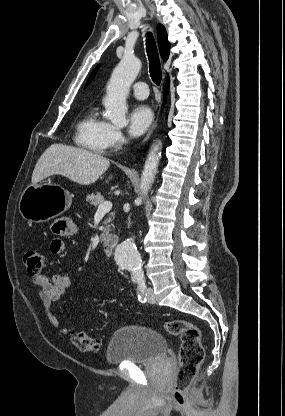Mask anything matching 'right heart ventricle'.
Listing matches in <instances>:
<instances>
[{
	"mask_svg": "<svg viewBox=\"0 0 285 416\" xmlns=\"http://www.w3.org/2000/svg\"><path fill=\"white\" fill-rule=\"evenodd\" d=\"M109 126L96 108H90L77 125L76 144L90 152L101 153Z\"/></svg>",
	"mask_w": 285,
	"mask_h": 416,
	"instance_id": "obj_1",
	"label": "right heart ventricle"
}]
</instances>
